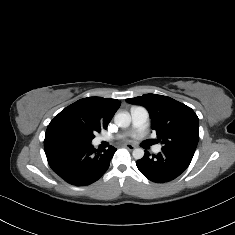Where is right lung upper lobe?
Listing matches in <instances>:
<instances>
[{
    "label": "right lung upper lobe",
    "mask_w": 235,
    "mask_h": 235,
    "mask_svg": "<svg viewBox=\"0 0 235 235\" xmlns=\"http://www.w3.org/2000/svg\"><path fill=\"white\" fill-rule=\"evenodd\" d=\"M120 107L117 99L102 97L83 98L63 109L48 125L46 135L61 132L62 126L70 121H77L106 129L115 112Z\"/></svg>",
    "instance_id": "cb5924a9"
}]
</instances>
